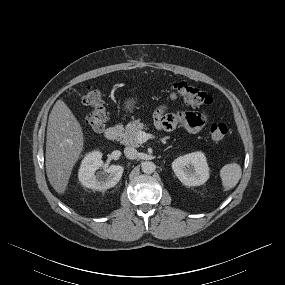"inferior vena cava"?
Here are the masks:
<instances>
[{
    "mask_svg": "<svg viewBox=\"0 0 285 285\" xmlns=\"http://www.w3.org/2000/svg\"><path fill=\"white\" fill-rule=\"evenodd\" d=\"M124 154L128 159H136L138 157V151L133 147H125Z\"/></svg>",
    "mask_w": 285,
    "mask_h": 285,
    "instance_id": "obj_1",
    "label": "inferior vena cava"
}]
</instances>
